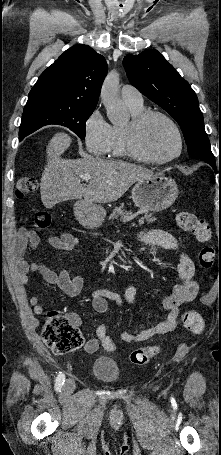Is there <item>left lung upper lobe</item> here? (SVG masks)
I'll list each match as a JSON object with an SVG mask.
<instances>
[{"label":"left lung upper lobe","instance_id":"left-lung-upper-lobe-1","mask_svg":"<svg viewBox=\"0 0 221 455\" xmlns=\"http://www.w3.org/2000/svg\"><path fill=\"white\" fill-rule=\"evenodd\" d=\"M123 65L130 83L178 122L190 157L213 159L196 94L176 69L155 49L126 55Z\"/></svg>","mask_w":221,"mask_h":455}]
</instances>
